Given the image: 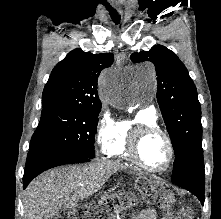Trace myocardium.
<instances>
[{
  "mask_svg": "<svg viewBox=\"0 0 221 219\" xmlns=\"http://www.w3.org/2000/svg\"><path fill=\"white\" fill-rule=\"evenodd\" d=\"M154 134H159L160 136H162L168 146V161L166 166L162 169H155L149 167L142 160L140 155V147L142 142L145 138ZM127 153L135 164H137L142 169L155 174H164L168 172L171 169L175 159V149L171 137L168 135V133H166L157 125L151 124H137L132 128V130L129 133Z\"/></svg>",
  "mask_w": 221,
  "mask_h": 219,
  "instance_id": "obj_1",
  "label": "myocardium"
}]
</instances>
